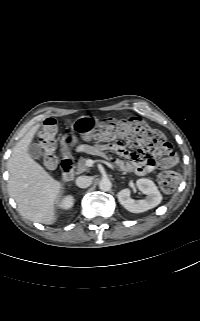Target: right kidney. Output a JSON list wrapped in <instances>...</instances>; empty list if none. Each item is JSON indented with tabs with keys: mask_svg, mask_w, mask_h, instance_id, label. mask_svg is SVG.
Listing matches in <instances>:
<instances>
[{
	"mask_svg": "<svg viewBox=\"0 0 200 321\" xmlns=\"http://www.w3.org/2000/svg\"><path fill=\"white\" fill-rule=\"evenodd\" d=\"M73 202V197L71 195H68L65 198H63V200H61L58 206L62 209H70L73 206Z\"/></svg>",
	"mask_w": 200,
	"mask_h": 321,
	"instance_id": "obj_1",
	"label": "right kidney"
}]
</instances>
